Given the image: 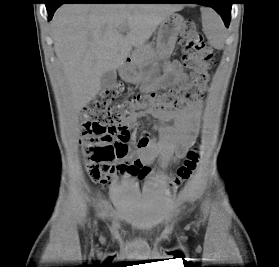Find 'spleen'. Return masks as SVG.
Wrapping results in <instances>:
<instances>
[{"label":"spleen","mask_w":279,"mask_h":267,"mask_svg":"<svg viewBox=\"0 0 279 267\" xmlns=\"http://www.w3.org/2000/svg\"><path fill=\"white\" fill-rule=\"evenodd\" d=\"M203 30L215 48H221L225 39L224 27L219 16L209 8H201Z\"/></svg>","instance_id":"obj_1"}]
</instances>
